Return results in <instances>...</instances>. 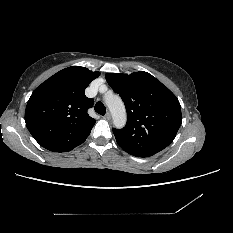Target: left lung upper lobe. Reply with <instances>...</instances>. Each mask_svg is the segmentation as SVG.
Returning <instances> with one entry per match:
<instances>
[{
	"label": "left lung upper lobe",
	"mask_w": 233,
	"mask_h": 233,
	"mask_svg": "<svg viewBox=\"0 0 233 233\" xmlns=\"http://www.w3.org/2000/svg\"><path fill=\"white\" fill-rule=\"evenodd\" d=\"M105 77L127 111L126 126L113 129L119 146L129 154L149 157L171 144L182 123L177 97L144 71L107 73Z\"/></svg>",
	"instance_id": "1"
}]
</instances>
